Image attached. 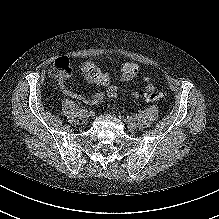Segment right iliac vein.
Masks as SVG:
<instances>
[{
	"mask_svg": "<svg viewBox=\"0 0 219 219\" xmlns=\"http://www.w3.org/2000/svg\"><path fill=\"white\" fill-rule=\"evenodd\" d=\"M80 119H81V121L82 122H87L88 121V119H89V115L88 114H82L81 116H80Z\"/></svg>",
	"mask_w": 219,
	"mask_h": 219,
	"instance_id": "1",
	"label": "right iliac vein"
}]
</instances>
